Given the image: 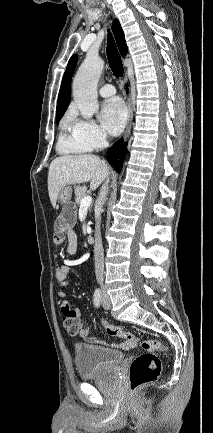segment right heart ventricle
Segmentation results:
<instances>
[{"label":"right heart ventricle","mask_w":213,"mask_h":433,"mask_svg":"<svg viewBox=\"0 0 213 433\" xmlns=\"http://www.w3.org/2000/svg\"><path fill=\"white\" fill-rule=\"evenodd\" d=\"M57 150L61 154H83L92 149L81 141L72 131L70 119L63 123L57 142Z\"/></svg>","instance_id":"right-heart-ventricle-1"}]
</instances>
